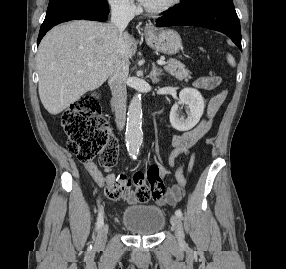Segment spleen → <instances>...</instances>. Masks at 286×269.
I'll return each instance as SVG.
<instances>
[{
  "label": "spleen",
  "instance_id": "spleen-1",
  "mask_svg": "<svg viewBox=\"0 0 286 269\" xmlns=\"http://www.w3.org/2000/svg\"><path fill=\"white\" fill-rule=\"evenodd\" d=\"M227 60H228L230 65L235 66V60L230 54H228Z\"/></svg>",
  "mask_w": 286,
  "mask_h": 269
}]
</instances>
